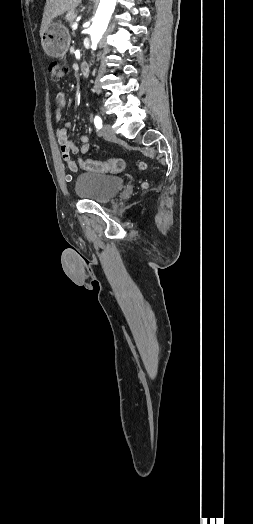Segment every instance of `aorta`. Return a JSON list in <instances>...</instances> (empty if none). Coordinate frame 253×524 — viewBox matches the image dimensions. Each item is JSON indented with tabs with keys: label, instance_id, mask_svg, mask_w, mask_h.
I'll return each instance as SVG.
<instances>
[{
	"label": "aorta",
	"instance_id": "1",
	"mask_svg": "<svg viewBox=\"0 0 253 524\" xmlns=\"http://www.w3.org/2000/svg\"><path fill=\"white\" fill-rule=\"evenodd\" d=\"M116 1L117 0H100L94 21L89 30L92 45H96L106 31L111 15L115 9Z\"/></svg>",
	"mask_w": 253,
	"mask_h": 524
}]
</instances>
